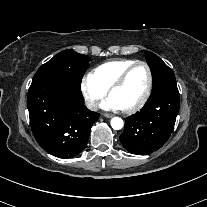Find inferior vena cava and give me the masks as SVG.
I'll return each instance as SVG.
<instances>
[{
  "label": "inferior vena cava",
  "instance_id": "inferior-vena-cava-1",
  "mask_svg": "<svg viewBox=\"0 0 207 207\" xmlns=\"http://www.w3.org/2000/svg\"><path fill=\"white\" fill-rule=\"evenodd\" d=\"M99 106V102L97 100H89L86 102V107L89 109V110H97Z\"/></svg>",
  "mask_w": 207,
  "mask_h": 207
}]
</instances>
